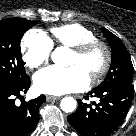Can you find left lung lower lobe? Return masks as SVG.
Returning <instances> with one entry per match:
<instances>
[{
	"mask_svg": "<svg viewBox=\"0 0 136 136\" xmlns=\"http://www.w3.org/2000/svg\"><path fill=\"white\" fill-rule=\"evenodd\" d=\"M134 86L118 83L88 93L99 98L93 105L78 100V109L67 117L70 125L83 136H110L123 123L133 98ZM86 100L89 96L84 97Z\"/></svg>",
	"mask_w": 136,
	"mask_h": 136,
	"instance_id": "0a47b994",
	"label": "left lung lower lobe"
}]
</instances>
